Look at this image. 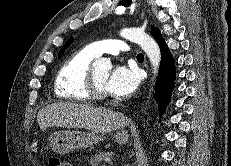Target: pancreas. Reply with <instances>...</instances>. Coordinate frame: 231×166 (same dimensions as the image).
Instances as JSON below:
<instances>
[{
	"instance_id": "pancreas-1",
	"label": "pancreas",
	"mask_w": 231,
	"mask_h": 166,
	"mask_svg": "<svg viewBox=\"0 0 231 166\" xmlns=\"http://www.w3.org/2000/svg\"><path fill=\"white\" fill-rule=\"evenodd\" d=\"M109 152H99L93 156H91L90 163L92 166H99L105 158L109 157ZM105 166V165H102Z\"/></svg>"
}]
</instances>
